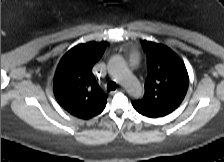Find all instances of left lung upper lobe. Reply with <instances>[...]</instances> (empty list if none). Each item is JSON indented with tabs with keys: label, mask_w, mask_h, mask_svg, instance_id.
<instances>
[{
	"label": "left lung upper lobe",
	"mask_w": 224,
	"mask_h": 162,
	"mask_svg": "<svg viewBox=\"0 0 224 162\" xmlns=\"http://www.w3.org/2000/svg\"><path fill=\"white\" fill-rule=\"evenodd\" d=\"M148 77L142 99L132 105L140 114L157 118L174 111L184 99L189 78L182 60L165 45L144 40Z\"/></svg>",
	"instance_id": "left-lung-upper-lobe-1"
}]
</instances>
